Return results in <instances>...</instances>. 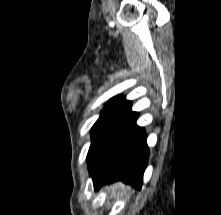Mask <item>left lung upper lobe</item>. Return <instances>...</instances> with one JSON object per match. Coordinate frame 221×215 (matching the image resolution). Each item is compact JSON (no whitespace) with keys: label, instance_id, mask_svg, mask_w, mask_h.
<instances>
[{"label":"left lung upper lobe","instance_id":"left-lung-upper-lobe-1","mask_svg":"<svg viewBox=\"0 0 221 215\" xmlns=\"http://www.w3.org/2000/svg\"><path fill=\"white\" fill-rule=\"evenodd\" d=\"M131 101L123 96L112 98L102 110L99 119L91 128V145L87 154V163L89 170L103 145L104 139L115 120L121 116L129 107Z\"/></svg>","mask_w":221,"mask_h":215}]
</instances>
